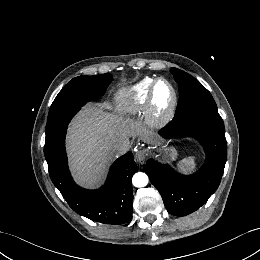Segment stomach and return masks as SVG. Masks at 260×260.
Instances as JSON below:
<instances>
[{
  "instance_id": "1",
  "label": "stomach",
  "mask_w": 260,
  "mask_h": 260,
  "mask_svg": "<svg viewBox=\"0 0 260 260\" xmlns=\"http://www.w3.org/2000/svg\"><path fill=\"white\" fill-rule=\"evenodd\" d=\"M161 154L166 161H175L178 156V152L175 147H164L161 149Z\"/></svg>"
}]
</instances>
